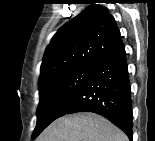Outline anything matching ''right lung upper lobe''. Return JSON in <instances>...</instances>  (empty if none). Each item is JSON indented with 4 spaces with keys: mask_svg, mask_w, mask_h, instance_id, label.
Segmentation results:
<instances>
[{
    "mask_svg": "<svg viewBox=\"0 0 155 141\" xmlns=\"http://www.w3.org/2000/svg\"><path fill=\"white\" fill-rule=\"evenodd\" d=\"M63 25L46 48L39 83L75 68H95L121 38L109 10L92 3Z\"/></svg>",
    "mask_w": 155,
    "mask_h": 141,
    "instance_id": "obj_1",
    "label": "right lung upper lobe"
}]
</instances>
